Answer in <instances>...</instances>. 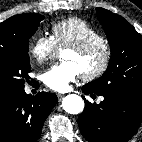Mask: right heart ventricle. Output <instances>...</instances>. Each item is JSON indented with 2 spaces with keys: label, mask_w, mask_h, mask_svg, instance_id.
<instances>
[{
  "label": "right heart ventricle",
  "mask_w": 142,
  "mask_h": 142,
  "mask_svg": "<svg viewBox=\"0 0 142 142\" xmlns=\"http://www.w3.org/2000/svg\"><path fill=\"white\" fill-rule=\"evenodd\" d=\"M52 37L60 48L90 41H105L103 35L86 20L70 17L52 26Z\"/></svg>",
  "instance_id": "right-heart-ventricle-1"
}]
</instances>
